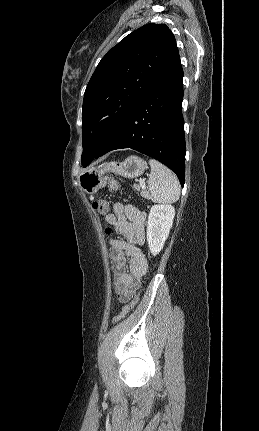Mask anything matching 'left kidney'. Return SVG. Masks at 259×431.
Wrapping results in <instances>:
<instances>
[{"mask_svg": "<svg viewBox=\"0 0 259 431\" xmlns=\"http://www.w3.org/2000/svg\"><path fill=\"white\" fill-rule=\"evenodd\" d=\"M175 209L168 204H156L151 207L148 216L147 242L155 256L163 249L173 224Z\"/></svg>", "mask_w": 259, "mask_h": 431, "instance_id": "obj_1", "label": "left kidney"}]
</instances>
